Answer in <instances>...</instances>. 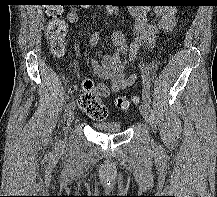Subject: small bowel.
I'll use <instances>...</instances> for the list:
<instances>
[{"label":"small bowel","instance_id":"c3829d8e","mask_svg":"<svg viewBox=\"0 0 217 197\" xmlns=\"http://www.w3.org/2000/svg\"><path fill=\"white\" fill-rule=\"evenodd\" d=\"M155 13L159 19L156 23H150L145 9L131 8L130 14L135 19V30L138 35L132 47L127 46L122 33L115 32L111 36L114 52L104 55L102 63H99L95 57L90 59L95 74L102 79L111 81L110 91L112 93L126 89L136 82L137 75L135 73L127 75L126 69L133 62L137 49L141 46L152 49L156 37L161 33L169 32L174 27L176 14L174 6L161 5L155 9ZM67 19L71 23L78 21L79 13L76 8H72L68 12ZM99 42V32L91 33L89 38L90 46L96 47ZM108 94L109 91L104 97L108 96Z\"/></svg>","mask_w":217,"mask_h":197}]
</instances>
